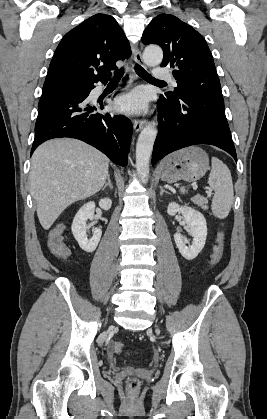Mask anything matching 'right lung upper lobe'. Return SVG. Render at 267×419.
I'll return each instance as SVG.
<instances>
[{
  "label": "right lung upper lobe",
  "mask_w": 267,
  "mask_h": 419,
  "mask_svg": "<svg viewBox=\"0 0 267 419\" xmlns=\"http://www.w3.org/2000/svg\"><path fill=\"white\" fill-rule=\"evenodd\" d=\"M130 55L129 42L117 21L110 15L96 14L62 38L43 86L107 81L110 71L117 69L116 62Z\"/></svg>",
  "instance_id": "obj_1"
}]
</instances>
